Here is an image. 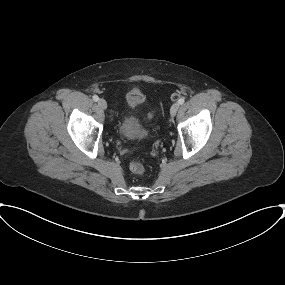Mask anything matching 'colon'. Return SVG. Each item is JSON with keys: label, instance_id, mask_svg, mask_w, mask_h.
<instances>
[{"label": "colon", "instance_id": "1", "mask_svg": "<svg viewBox=\"0 0 285 285\" xmlns=\"http://www.w3.org/2000/svg\"><path fill=\"white\" fill-rule=\"evenodd\" d=\"M151 116H152V113H150L148 115L149 118ZM129 168H130L131 172H133L134 174H137V175H142L145 172L144 165L139 160H136V159L130 162Z\"/></svg>", "mask_w": 285, "mask_h": 285}]
</instances>
